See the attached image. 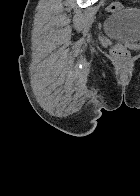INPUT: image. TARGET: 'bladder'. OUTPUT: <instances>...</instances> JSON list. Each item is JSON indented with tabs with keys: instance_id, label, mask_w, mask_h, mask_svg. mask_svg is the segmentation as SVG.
I'll return each mask as SVG.
<instances>
[{
	"instance_id": "bladder-1",
	"label": "bladder",
	"mask_w": 140,
	"mask_h": 196,
	"mask_svg": "<svg viewBox=\"0 0 140 196\" xmlns=\"http://www.w3.org/2000/svg\"><path fill=\"white\" fill-rule=\"evenodd\" d=\"M108 32L111 36L127 41L140 40V11L134 8H122L112 13Z\"/></svg>"
}]
</instances>
